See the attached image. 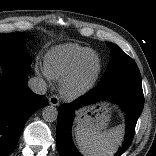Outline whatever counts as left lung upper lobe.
<instances>
[{
  "mask_svg": "<svg viewBox=\"0 0 156 156\" xmlns=\"http://www.w3.org/2000/svg\"><path fill=\"white\" fill-rule=\"evenodd\" d=\"M111 51V59L104 76L98 85L111 82H131L141 84L140 71L133 61L117 45L107 42Z\"/></svg>",
  "mask_w": 156,
  "mask_h": 156,
  "instance_id": "5c2ea615",
  "label": "left lung upper lobe"
}]
</instances>
